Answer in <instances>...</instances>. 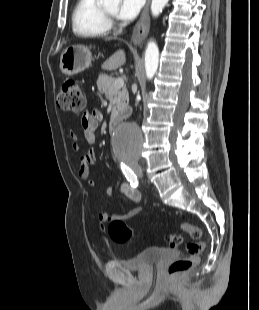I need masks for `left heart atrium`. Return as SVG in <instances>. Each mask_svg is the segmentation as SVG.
<instances>
[{
  "label": "left heart atrium",
  "instance_id": "1",
  "mask_svg": "<svg viewBox=\"0 0 259 310\" xmlns=\"http://www.w3.org/2000/svg\"><path fill=\"white\" fill-rule=\"evenodd\" d=\"M144 0H121L116 15L123 21L133 20L140 12Z\"/></svg>",
  "mask_w": 259,
  "mask_h": 310
}]
</instances>
